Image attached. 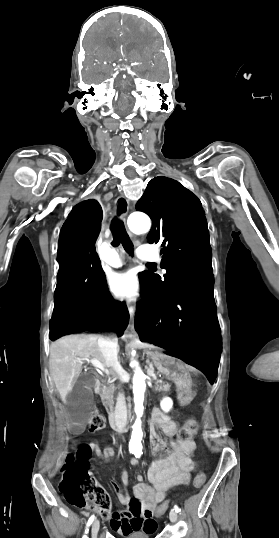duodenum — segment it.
I'll use <instances>...</instances> for the list:
<instances>
[{
  "instance_id": "410a0bca",
  "label": "duodenum",
  "mask_w": 279,
  "mask_h": 538,
  "mask_svg": "<svg viewBox=\"0 0 279 538\" xmlns=\"http://www.w3.org/2000/svg\"><path fill=\"white\" fill-rule=\"evenodd\" d=\"M96 386L98 387V391H103L104 383L102 381H98ZM128 402H131V399H128ZM116 417L117 414L115 412L109 413V417L106 419L108 428L117 429L118 427H121V424L117 423L118 419H116ZM124 427H130V424H124Z\"/></svg>"
}]
</instances>
